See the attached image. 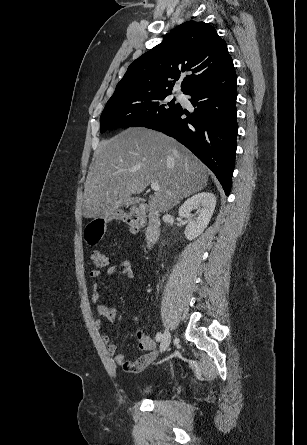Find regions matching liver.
<instances>
[{
  "mask_svg": "<svg viewBox=\"0 0 307 445\" xmlns=\"http://www.w3.org/2000/svg\"><path fill=\"white\" fill-rule=\"evenodd\" d=\"M94 156L83 194L85 218H103L128 206L131 194L143 192L150 182L159 184L149 196V208L158 212H167L207 184V166L184 144L143 126L100 140Z\"/></svg>",
  "mask_w": 307,
  "mask_h": 445,
  "instance_id": "1",
  "label": "liver"
}]
</instances>
